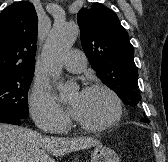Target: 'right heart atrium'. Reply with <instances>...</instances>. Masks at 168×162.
<instances>
[{"label": "right heart atrium", "mask_w": 168, "mask_h": 162, "mask_svg": "<svg viewBox=\"0 0 168 162\" xmlns=\"http://www.w3.org/2000/svg\"><path fill=\"white\" fill-rule=\"evenodd\" d=\"M29 111L38 128L45 132L58 133L68 125V116L49 88L35 83L29 96Z\"/></svg>", "instance_id": "right-heart-atrium-1"}]
</instances>
